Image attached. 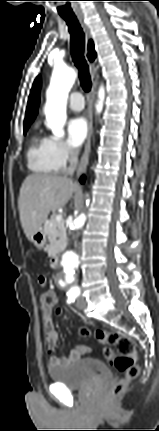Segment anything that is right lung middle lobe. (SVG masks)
<instances>
[{"mask_svg": "<svg viewBox=\"0 0 159 431\" xmlns=\"http://www.w3.org/2000/svg\"><path fill=\"white\" fill-rule=\"evenodd\" d=\"M29 126H24V134L26 133Z\"/></svg>", "mask_w": 159, "mask_h": 431, "instance_id": "1", "label": "right lung middle lobe"}]
</instances>
